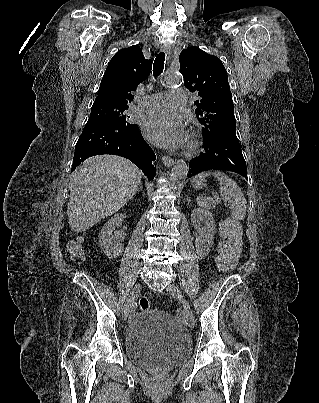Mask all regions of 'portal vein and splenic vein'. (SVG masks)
Segmentation results:
<instances>
[{
	"instance_id": "portal-vein-and-splenic-vein-1",
	"label": "portal vein and splenic vein",
	"mask_w": 319,
	"mask_h": 403,
	"mask_svg": "<svg viewBox=\"0 0 319 403\" xmlns=\"http://www.w3.org/2000/svg\"><path fill=\"white\" fill-rule=\"evenodd\" d=\"M213 197H214L217 201H220V199H219L216 195H213Z\"/></svg>"
}]
</instances>
